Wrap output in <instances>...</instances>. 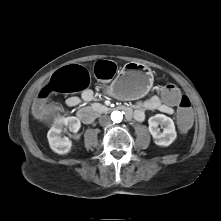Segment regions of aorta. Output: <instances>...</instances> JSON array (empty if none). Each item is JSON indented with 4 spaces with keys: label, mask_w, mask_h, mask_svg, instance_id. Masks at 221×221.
I'll return each mask as SVG.
<instances>
[{
    "label": "aorta",
    "mask_w": 221,
    "mask_h": 221,
    "mask_svg": "<svg viewBox=\"0 0 221 221\" xmlns=\"http://www.w3.org/2000/svg\"><path fill=\"white\" fill-rule=\"evenodd\" d=\"M123 119V113L120 112V111H113L111 113V120L114 122V123H120Z\"/></svg>",
    "instance_id": "1"
}]
</instances>
